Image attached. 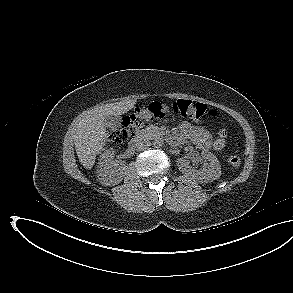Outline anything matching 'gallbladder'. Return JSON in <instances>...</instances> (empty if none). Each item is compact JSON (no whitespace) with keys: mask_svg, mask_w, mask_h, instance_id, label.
I'll return each instance as SVG.
<instances>
[{"mask_svg":"<svg viewBox=\"0 0 293 293\" xmlns=\"http://www.w3.org/2000/svg\"><path fill=\"white\" fill-rule=\"evenodd\" d=\"M121 116H107L104 120L105 127H107L110 130H117L121 127Z\"/></svg>","mask_w":293,"mask_h":293,"instance_id":"obj_1","label":"gallbladder"}]
</instances>
